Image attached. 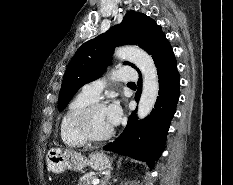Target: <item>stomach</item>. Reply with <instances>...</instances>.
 I'll list each match as a JSON object with an SVG mask.
<instances>
[{"label":"stomach","mask_w":233,"mask_h":185,"mask_svg":"<svg viewBox=\"0 0 233 185\" xmlns=\"http://www.w3.org/2000/svg\"><path fill=\"white\" fill-rule=\"evenodd\" d=\"M111 160L103 152H92L88 158L73 150L51 148L46 156L47 169L59 174L67 169L83 171L86 166L94 170H105L111 167Z\"/></svg>","instance_id":"1"}]
</instances>
